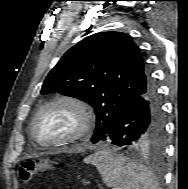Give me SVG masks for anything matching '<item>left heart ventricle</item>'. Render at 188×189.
<instances>
[{"mask_svg":"<svg viewBox=\"0 0 188 189\" xmlns=\"http://www.w3.org/2000/svg\"><path fill=\"white\" fill-rule=\"evenodd\" d=\"M78 126L76 112L66 106L46 110L36 124V135L41 141H53L71 135Z\"/></svg>","mask_w":188,"mask_h":189,"instance_id":"obj_1","label":"left heart ventricle"}]
</instances>
